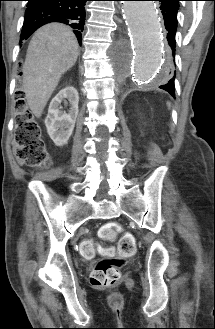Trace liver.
<instances>
[{
	"instance_id": "1",
	"label": "liver",
	"mask_w": 215,
	"mask_h": 329,
	"mask_svg": "<svg viewBox=\"0 0 215 329\" xmlns=\"http://www.w3.org/2000/svg\"><path fill=\"white\" fill-rule=\"evenodd\" d=\"M78 53L77 39L64 24H47L34 33L23 66V89L36 117H41L61 76L74 66Z\"/></svg>"
}]
</instances>
